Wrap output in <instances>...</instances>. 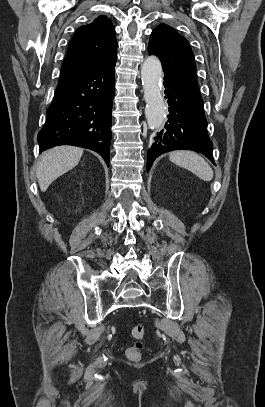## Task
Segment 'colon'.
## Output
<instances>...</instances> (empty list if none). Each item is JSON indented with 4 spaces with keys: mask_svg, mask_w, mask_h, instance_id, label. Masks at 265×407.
<instances>
[{
    "mask_svg": "<svg viewBox=\"0 0 265 407\" xmlns=\"http://www.w3.org/2000/svg\"><path fill=\"white\" fill-rule=\"evenodd\" d=\"M131 335L134 339V343L128 347L125 351L126 357L130 360L136 361L141 358L143 351V340L146 336V328L142 323H138L133 326Z\"/></svg>",
    "mask_w": 265,
    "mask_h": 407,
    "instance_id": "colon-1",
    "label": "colon"
}]
</instances>
